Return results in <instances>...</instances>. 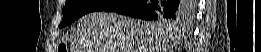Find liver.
I'll use <instances>...</instances> for the list:
<instances>
[{
  "instance_id": "liver-1",
  "label": "liver",
  "mask_w": 261,
  "mask_h": 52,
  "mask_svg": "<svg viewBox=\"0 0 261 52\" xmlns=\"http://www.w3.org/2000/svg\"><path fill=\"white\" fill-rule=\"evenodd\" d=\"M72 52H173L172 28L117 13H89L78 20Z\"/></svg>"
}]
</instances>
